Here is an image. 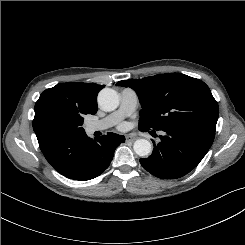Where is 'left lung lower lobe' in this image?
<instances>
[{
	"instance_id": "left-lung-lower-lobe-1",
	"label": "left lung lower lobe",
	"mask_w": 245,
	"mask_h": 245,
	"mask_svg": "<svg viewBox=\"0 0 245 245\" xmlns=\"http://www.w3.org/2000/svg\"><path fill=\"white\" fill-rule=\"evenodd\" d=\"M155 132V131H151ZM152 155L140 159L145 170L161 179H177L192 171L210 149L215 132L198 125H177L161 130Z\"/></svg>"
}]
</instances>
